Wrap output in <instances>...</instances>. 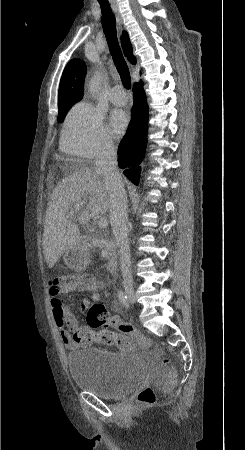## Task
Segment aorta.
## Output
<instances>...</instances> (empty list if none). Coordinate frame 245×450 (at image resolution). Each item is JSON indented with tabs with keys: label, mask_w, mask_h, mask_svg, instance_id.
<instances>
[{
	"label": "aorta",
	"mask_w": 245,
	"mask_h": 450,
	"mask_svg": "<svg viewBox=\"0 0 245 450\" xmlns=\"http://www.w3.org/2000/svg\"><path fill=\"white\" fill-rule=\"evenodd\" d=\"M100 79H101V76L99 73L97 75H95L94 78L91 79V81L89 83V91L92 95H94L98 91L99 86H100Z\"/></svg>",
	"instance_id": "aorta-1"
}]
</instances>
